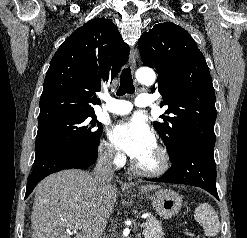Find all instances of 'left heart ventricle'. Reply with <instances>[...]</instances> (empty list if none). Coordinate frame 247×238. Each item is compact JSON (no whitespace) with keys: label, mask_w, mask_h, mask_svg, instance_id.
<instances>
[{"label":"left heart ventricle","mask_w":247,"mask_h":238,"mask_svg":"<svg viewBox=\"0 0 247 238\" xmlns=\"http://www.w3.org/2000/svg\"><path fill=\"white\" fill-rule=\"evenodd\" d=\"M137 162L145 168H154L157 165L158 158L155 149L148 152L142 158L138 159Z\"/></svg>","instance_id":"1"}]
</instances>
